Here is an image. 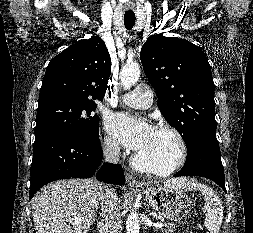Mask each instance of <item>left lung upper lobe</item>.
Returning <instances> with one entry per match:
<instances>
[{
    "label": "left lung upper lobe",
    "mask_w": 253,
    "mask_h": 233,
    "mask_svg": "<svg viewBox=\"0 0 253 233\" xmlns=\"http://www.w3.org/2000/svg\"><path fill=\"white\" fill-rule=\"evenodd\" d=\"M157 105L187 148L200 136L216 139L214 82L200 47L176 37L150 36L140 52Z\"/></svg>",
    "instance_id": "5c2ea615"
}]
</instances>
